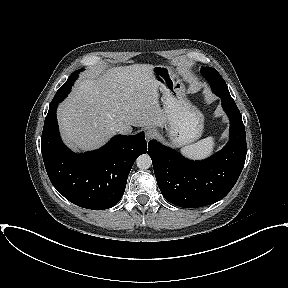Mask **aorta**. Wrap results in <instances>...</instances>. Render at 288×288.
Here are the masks:
<instances>
[{
	"mask_svg": "<svg viewBox=\"0 0 288 288\" xmlns=\"http://www.w3.org/2000/svg\"><path fill=\"white\" fill-rule=\"evenodd\" d=\"M137 167L141 170H146L151 167L152 160L149 155L142 154L136 160Z\"/></svg>",
	"mask_w": 288,
	"mask_h": 288,
	"instance_id": "aorta-1",
	"label": "aorta"
}]
</instances>
